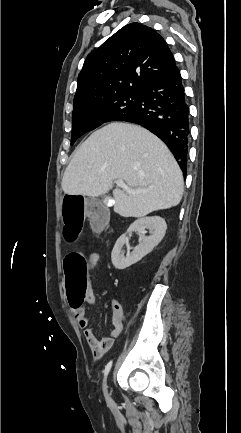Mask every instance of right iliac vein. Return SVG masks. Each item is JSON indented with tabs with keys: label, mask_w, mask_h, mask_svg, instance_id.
Returning a JSON list of instances; mask_svg holds the SVG:
<instances>
[{
	"label": "right iliac vein",
	"mask_w": 241,
	"mask_h": 433,
	"mask_svg": "<svg viewBox=\"0 0 241 433\" xmlns=\"http://www.w3.org/2000/svg\"><path fill=\"white\" fill-rule=\"evenodd\" d=\"M105 388L107 389V386L105 385ZM106 398H107V400H111V397H110V395L108 394V392L106 391Z\"/></svg>",
	"instance_id": "right-iliac-vein-1"
}]
</instances>
